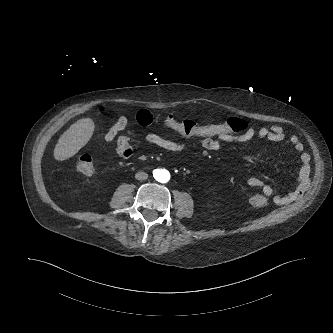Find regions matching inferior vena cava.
<instances>
[{"label":"inferior vena cava","mask_w":333,"mask_h":333,"mask_svg":"<svg viewBox=\"0 0 333 333\" xmlns=\"http://www.w3.org/2000/svg\"><path fill=\"white\" fill-rule=\"evenodd\" d=\"M135 178L137 180H146L148 178V174L145 172H138L135 174Z\"/></svg>","instance_id":"obj_1"}]
</instances>
